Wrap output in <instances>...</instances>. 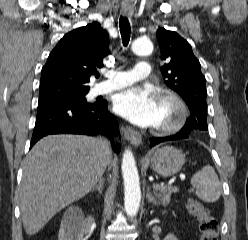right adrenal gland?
<instances>
[{
  "label": "right adrenal gland",
  "mask_w": 248,
  "mask_h": 240,
  "mask_svg": "<svg viewBox=\"0 0 248 240\" xmlns=\"http://www.w3.org/2000/svg\"><path fill=\"white\" fill-rule=\"evenodd\" d=\"M104 179L101 178L98 184L92 189V191L97 190L99 194H102L103 186H104Z\"/></svg>",
  "instance_id": "right-adrenal-gland-1"
}]
</instances>
